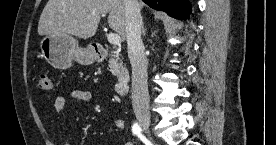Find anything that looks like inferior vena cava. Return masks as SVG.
Here are the masks:
<instances>
[{
  "mask_svg": "<svg viewBox=\"0 0 276 145\" xmlns=\"http://www.w3.org/2000/svg\"><path fill=\"white\" fill-rule=\"evenodd\" d=\"M126 6V39L132 66V105L136 116H149L148 60L141 38L142 17L138 0H124Z\"/></svg>",
  "mask_w": 276,
  "mask_h": 145,
  "instance_id": "inferior-vena-cava-1",
  "label": "inferior vena cava"
}]
</instances>
